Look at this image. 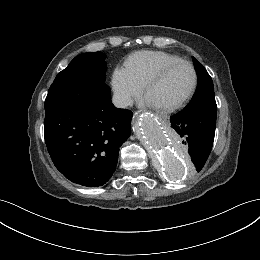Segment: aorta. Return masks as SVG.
I'll return each mask as SVG.
<instances>
[{"mask_svg": "<svg viewBox=\"0 0 260 260\" xmlns=\"http://www.w3.org/2000/svg\"><path fill=\"white\" fill-rule=\"evenodd\" d=\"M134 132L168 179L178 180L188 174L190 166L179 148L177 136L154 116H141L135 122Z\"/></svg>", "mask_w": 260, "mask_h": 260, "instance_id": "1", "label": "aorta"}]
</instances>
